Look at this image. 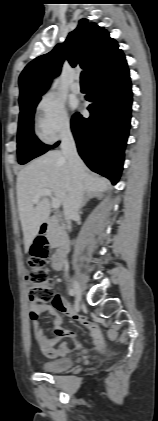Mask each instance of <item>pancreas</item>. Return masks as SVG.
Returning a JSON list of instances; mask_svg holds the SVG:
<instances>
[{
	"label": "pancreas",
	"instance_id": "obj_1",
	"mask_svg": "<svg viewBox=\"0 0 158 421\" xmlns=\"http://www.w3.org/2000/svg\"><path fill=\"white\" fill-rule=\"evenodd\" d=\"M63 236L64 231L62 226L57 221H52L47 231V238L50 242L51 248L58 247Z\"/></svg>",
	"mask_w": 158,
	"mask_h": 421
}]
</instances>
